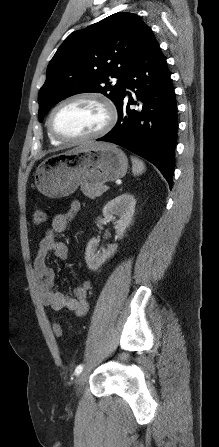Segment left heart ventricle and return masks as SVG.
<instances>
[{
  "instance_id": "b2bd125f",
  "label": "left heart ventricle",
  "mask_w": 219,
  "mask_h": 447,
  "mask_svg": "<svg viewBox=\"0 0 219 447\" xmlns=\"http://www.w3.org/2000/svg\"><path fill=\"white\" fill-rule=\"evenodd\" d=\"M105 118V111L99 104L80 100L62 106L54 115L53 125L60 135L75 138L99 130Z\"/></svg>"
}]
</instances>
